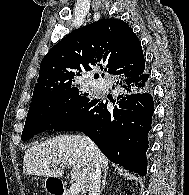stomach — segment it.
<instances>
[{"label":"stomach","instance_id":"0dacf381","mask_svg":"<svg viewBox=\"0 0 189 195\" xmlns=\"http://www.w3.org/2000/svg\"><path fill=\"white\" fill-rule=\"evenodd\" d=\"M50 178H51V177H48V178L45 180V187H46V189H48V190L51 189L50 184H49Z\"/></svg>","mask_w":189,"mask_h":195}]
</instances>
